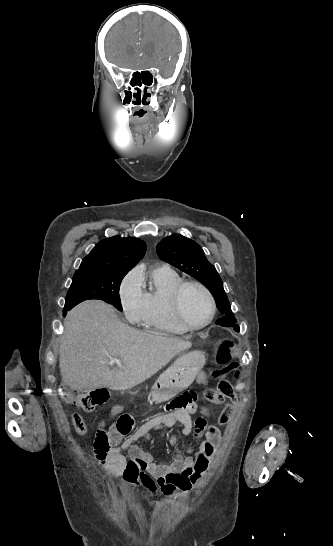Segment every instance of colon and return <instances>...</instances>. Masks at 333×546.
Instances as JSON below:
<instances>
[{"label": "colon", "mask_w": 333, "mask_h": 546, "mask_svg": "<svg viewBox=\"0 0 333 546\" xmlns=\"http://www.w3.org/2000/svg\"><path fill=\"white\" fill-rule=\"evenodd\" d=\"M216 350V364L220 366L218 370L213 371V375L218 377L217 389L212 392L211 400L216 404H223L226 400L230 402H236L237 397L231 383L226 379L227 376L232 375V383L239 385L241 378L242 361L235 359L232 361L234 345L231 341L219 340L215 345ZM67 400L70 404L84 410L93 411L97 406L103 405L108 400V394L102 390H96L85 393L72 392L70 396H67ZM195 402V396L192 393H185L182 396L176 398L171 407L180 408L191 406ZM72 424L76 432L83 435L87 431L85 421L79 414H72ZM207 430V421L204 417L199 416L195 421L196 436L202 437ZM130 431V421L119 417L114 424L108 429L98 430L94 439V453L98 459H104L107 457L111 448L118 444L120 439L128 434Z\"/></svg>", "instance_id": "obj_1"}]
</instances>
